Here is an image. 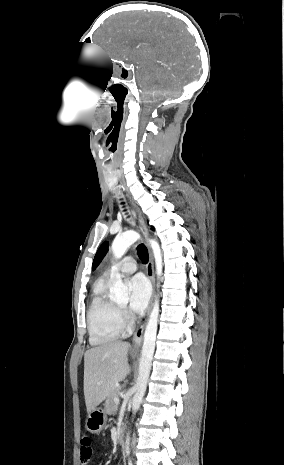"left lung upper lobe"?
Instances as JSON below:
<instances>
[{
    "mask_svg": "<svg viewBox=\"0 0 284 465\" xmlns=\"http://www.w3.org/2000/svg\"><path fill=\"white\" fill-rule=\"evenodd\" d=\"M108 242H103L102 245L100 246V248L98 249L95 257H94V261H93V266H92V269L94 270L98 265L99 263L101 262V260L103 259V257L105 256L107 250H108Z\"/></svg>",
    "mask_w": 284,
    "mask_h": 465,
    "instance_id": "obj_1",
    "label": "left lung upper lobe"
}]
</instances>
